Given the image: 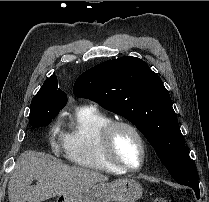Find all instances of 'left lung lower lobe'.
Listing matches in <instances>:
<instances>
[{
  "label": "left lung lower lobe",
  "instance_id": "1",
  "mask_svg": "<svg viewBox=\"0 0 209 202\" xmlns=\"http://www.w3.org/2000/svg\"><path fill=\"white\" fill-rule=\"evenodd\" d=\"M195 192L196 197L199 199L200 198V191L199 188H192Z\"/></svg>",
  "mask_w": 209,
  "mask_h": 202
}]
</instances>
